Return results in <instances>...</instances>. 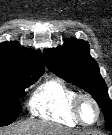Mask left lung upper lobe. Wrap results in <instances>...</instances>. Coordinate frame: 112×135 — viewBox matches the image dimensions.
I'll return each mask as SVG.
<instances>
[{"instance_id": "1", "label": "left lung upper lobe", "mask_w": 112, "mask_h": 135, "mask_svg": "<svg viewBox=\"0 0 112 135\" xmlns=\"http://www.w3.org/2000/svg\"><path fill=\"white\" fill-rule=\"evenodd\" d=\"M44 61L51 72L93 96L104 113L106 128L112 132V101L99 67L89 54L88 42L74 38L55 49L44 50Z\"/></svg>"}]
</instances>
